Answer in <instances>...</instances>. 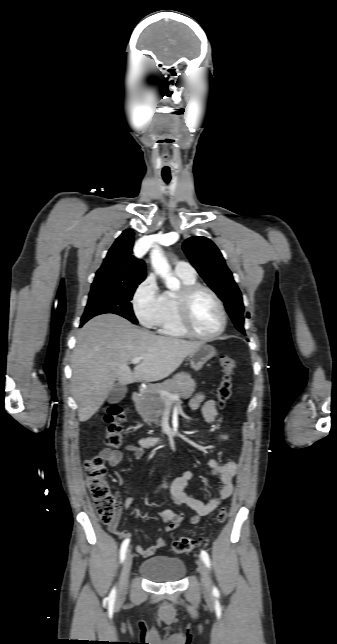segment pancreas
I'll return each instance as SVG.
<instances>
[{
	"label": "pancreas",
	"instance_id": "1",
	"mask_svg": "<svg viewBox=\"0 0 337 644\" xmlns=\"http://www.w3.org/2000/svg\"><path fill=\"white\" fill-rule=\"evenodd\" d=\"M195 388L196 383L188 374L176 375L163 383L150 385L142 391V396L136 404L138 413L149 425L151 422L158 423V418L163 414L165 402L168 400L161 395L160 390L187 399L192 396Z\"/></svg>",
	"mask_w": 337,
	"mask_h": 644
}]
</instances>
